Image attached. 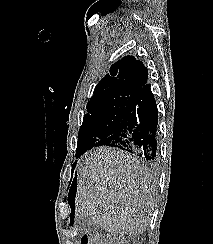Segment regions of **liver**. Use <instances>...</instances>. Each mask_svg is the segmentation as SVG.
Returning a JSON list of instances; mask_svg holds the SVG:
<instances>
[{"label":"liver","mask_w":213,"mask_h":244,"mask_svg":"<svg viewBox=\"0 0 213 244\" xmlns=\"http://www.w3.org/2000/svg\"><path fill=\"white\" fill-rule=\"evenodd\" d=\"M156 185L151 171L129 153L94 149L78 172L75 216H89L111 233L141 234L157 202Z\"/></svg>","instance_id":"liver-1"}]
</instances>
